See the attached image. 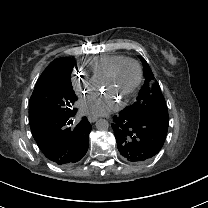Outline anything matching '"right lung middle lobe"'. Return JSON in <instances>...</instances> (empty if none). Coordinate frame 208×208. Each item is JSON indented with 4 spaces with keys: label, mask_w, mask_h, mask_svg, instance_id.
I'll list each match as a JSON object with an SVG mask.
<instances>
[{
    "label": "right lung middle lobe",
    "mask_w": 208,
    "mask_h": 208,
    "mask_svg": "<svg viewBox=\"0 0 208 208\" xmlns=\"http://www.w3.org/2000/svg\"><path fill=\"white\" fill-rule=\"evenodd\" d=\"M73 65V59L59 58L36 83L29 103L30 121L42 122L76 113L73 106L77 97L71 84Z\"/></svg>",
    "instance_id": "obj_1"
}]
</instances>
